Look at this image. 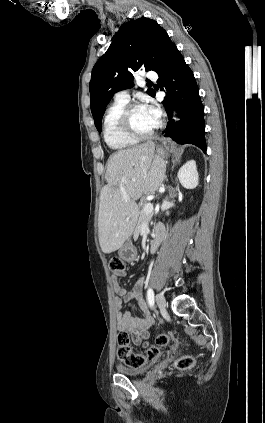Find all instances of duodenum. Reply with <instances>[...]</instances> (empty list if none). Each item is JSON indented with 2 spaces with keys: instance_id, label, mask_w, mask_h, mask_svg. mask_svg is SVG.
<instances>
[{
  "instance_id": "duodenum-1",
  "label": "duodenum",
  "mask_w": 265,
  "mask_h": 423,
  "mask_svg": "<svg viewBox=\"0 0 265 423\" xmlns=\"http://www.w3.org/2000/svg\"><path fill=\"white\" fill-rule=\"evenodd\" d=\"M164 234H165V229H164L163 226H161V227L160 226H157L155 228L154 237H153V239H152V241L150 243V247H149V251L151 253L156 252V250L158 249L160 243L163 240Z\"/></svg>"
}]
</instances>
